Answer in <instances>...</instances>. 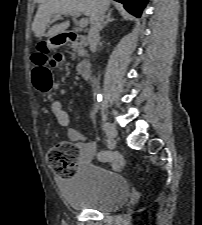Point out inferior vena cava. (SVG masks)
I'll use <instances>...</instances> for the list:
<instances>
[{"label":"inferior vena cava","instance_id":"602c4592","mask_svg":"<svg viewBox=\"0 0 202 225\" xmlns=\"http://www.w3.org/2000/svg\"><path fill=\"white\" fill-rule=\"evenodd\" d=\"M105 9L103 5H98L94 18L91 20V28L88 33V42L90 45V50L95 52L97 49V43L99 40V28L104 19Z\"/></svg>","mask_w":202,"mask_h":225}]
</instances>
